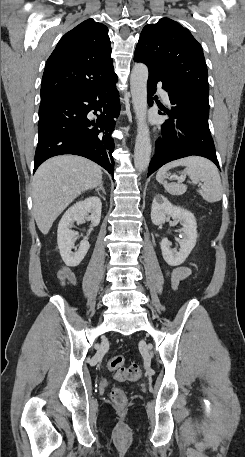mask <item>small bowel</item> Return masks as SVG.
<instances>
[{
  "label": "small bowel",
  "mask_w": 245,
  "mask_h": 457,
  "mask_svg": "<svg viewBox=\"0 0 245 457\" xmlns=\"http://www.w3.org/2000/svg\"><path fill=\"white\" fill-rule=\"evenodd\" d=\"M191 275V269L186 266L175 267L167 272V277L171 283V286L176 289L180 281L186 279ZM57 278L62 285L65 284H76L78 282L77 276L72 270L66 266H62L57 271Z\"/></svg>",
  "instance_id": "small-bowel-1"
}]
</instances>
